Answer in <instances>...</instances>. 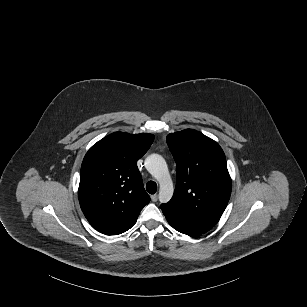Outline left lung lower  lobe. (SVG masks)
<instances>
[{
  "label": "left lung lower lobe",
  "instance_id": "obj_1",
  "mask_svg": "<svg viewBox=\"0 0 307 307\" xmlns=\"http://www.w3.org/2000/svg\"><path fill=\"white\" fill-rule=\"evenodd\" d=\"M168 223L174 228L176 229L177 231L181 232V233H184V234H187V235H190V236H198L202 233H205L199 229H196V228H193V227H190L189 225L183 223L181 220H178L176 219L174 216H173V213L169 210H166V209H162Z\"/></svg>",
  "mask_w": 307,
  "mask_h": 307
}]
</instances>
